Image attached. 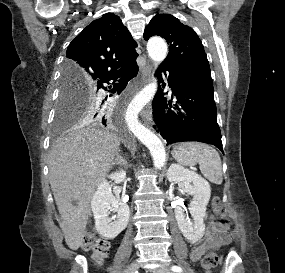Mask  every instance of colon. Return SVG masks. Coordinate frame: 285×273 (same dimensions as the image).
Wrapping results in <instances>:
<instances>
[{
	"label": "colon",
	"mask_w": 285,
	"mask_h": 273,
	"mask_svg": "<svg viewBox=\"0 0 285 273\" xmlns=\"http://www.w3.org/2000/svg\"><path fill=\"white\" fill-rule=\"evenodd\" d=\"M213 210L219 216V223L228 228L230 222L222 214L221 202L215 197L212 201ZM82 248L92 253L93 259L97 264H101L107 257L110 249V243L107 239L98 237L93 232H87L82 240ZM218 262V257L213 252L206 253L201 260V267L206 273H211Z\"/></svg>",
	"instance_id": "1"
}]
</instances>
